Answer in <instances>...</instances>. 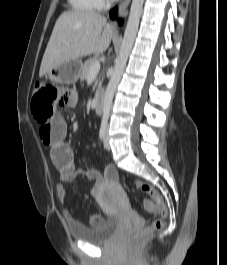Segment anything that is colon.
Masks as SVG:
<instances>
[{"mask_svg": "<svg viewBox=\"0 0 227 265\" xmlns=\"http://www.w3.org/2000/svg\"><path fill=\"white\" fill-rule=\"evenodd\" d=\"M59 97L60 92L57 87L43 82H37L35 84L32 98V112L40 123V127L44 125V120H50L52 118L54 106L59 100ZM136 186L152 198V201H144L143 206L145 210L156 213L159 217L154 219L140 232L129 235L126 239L128 245L135 243L143 235L160 230L164 225V219L167 215L166 204L160 193L152 185L138 180L136 181Z\"/></svg>", "mask_w": 227, "mask_h": 265, "instance_id": "1", "label": "colon"}]
</instances>
